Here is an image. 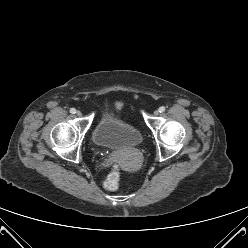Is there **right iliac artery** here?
<instances>
[{"instance_id":"obj_1","label":"right iliac artery","mask_w":248,"mask_h":248,"mask_svg":"<svg viewBox=\"0 0 248 248\" xmlns=\"http://www.w3.org/2000/svg\"><path fill=\"white\" fill-rule=\"evenodd\" d=\"M70 113L75 114L76 113V109L75 108H71L70 109Z\"/></svg>"}]
</instances>
